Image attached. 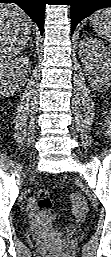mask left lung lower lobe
<instances>
[{"instance_id":"left-lung-lower-lobe-1","label":"left lung lower lobe","mask_w":111,"mask_h":257,"mask_svg":"<svg viewBox=\"0 0 111 257\" xmlns=\"http://www.w3.org/2000/svg\"><path fill=\"white\" fill-rule=\"evenodd\" d=\"M105 7H111V0H71V31L81 20Z\"/></svg>"}]
</instances>
